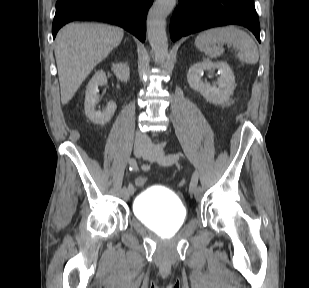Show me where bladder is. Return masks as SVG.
<instances>
[{
    "instance_id": "bladder-1",
    "label": "bladder",
    "mask_w": 309,
    "mask_h": 288,
    "mask_svg": "<svg viewBox=\"0 0 309 288\" xmlns=\"http://www.w3.org/2000/svg\"><path fill=\"white\" fill-rule=\"evenodd\" d=\"M133 211L144 226L159 233L177 231L187 219V210L180 198L156 186L145 188L135 197Z\"/></svg>"
}]
</instances>
